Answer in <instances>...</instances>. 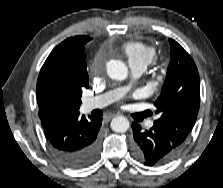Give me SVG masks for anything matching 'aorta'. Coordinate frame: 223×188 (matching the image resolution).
<instances>
[{"mask_svg":"<svg viewBox=\"0 0 223 188\" xmlns=\"http://www.w3.org/2000/svg\"><path fill=\"white\" fill-rule=\"evenodd\" d=\"M107 74L111 79L124 80L128 74V68L120 60H110L107 63ZM130 123L124 116H118L112 119L111 129L115 132L123 133L129 129Z\"/></svg>","mask_w":223,"mask_h":188,"instance_id":"762f6f07","label":"aorta"}]
</instances>
